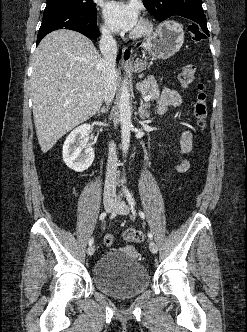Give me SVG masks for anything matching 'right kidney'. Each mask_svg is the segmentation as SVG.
<instances>
[{
    "label": "right kidney",
    "mask_w": 247,
    "mask_h": 332,
    "mask_svg": "<svg viewBox=\"0 0 247 332\" xmlns=\"http://www.w3.org/2000/svg\"><path fill=\"white\" fill-rule=\"evenodd\" d=\"M90 124H83L75 128L66 138L63 144V161L72 170L83 172L87 170L94 161V150L91 146L85 149L82 139L91 130Z\"/></svg>",
    "instance_id": "ca27d5eb"
}]
</instances>
